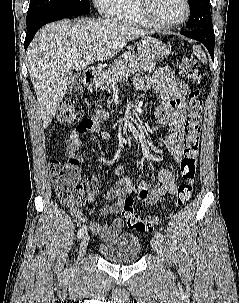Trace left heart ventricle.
Listing matches in <instances>:
<instances>
[{
    "mask_svg": "<svg viewBox=\"0 0 239 303\" xmlns=\"http://www.w3.org/2000/svg\"><path fill=\"white\" fill-rule=\"evenodd\" d=\"M185 13L183 0H153L151 15L162 24L179 21Z\"/></svg>",
    "mask_w": 239,
    "mask_h": 303,
    "instance_id": "obj_1",
    "label": "left heart ventricle"
}]
</instances>
